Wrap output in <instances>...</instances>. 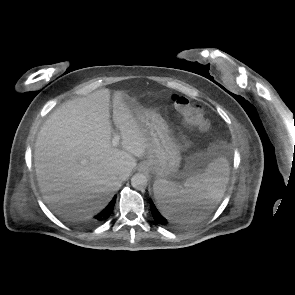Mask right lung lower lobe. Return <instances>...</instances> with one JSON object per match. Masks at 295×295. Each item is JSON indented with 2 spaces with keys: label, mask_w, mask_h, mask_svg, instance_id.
I'll use <instances>...</instances> for the list:
<instances>
[{
  "label": "right lung lower lobe",
  "mask_w": 295,
  "mask_h": 295,
  "mask_svg": "<svg viewBox=\"0 0 295 295\" xmlns=\"http://www.w3.org/2000/svg\"><path fill=\"white\" fill-rule=\"evenodd\" d=\"M115 199L104 209L100 214L94 217V222H100L106 220L113 211Z\"/></svg>",
  "instance_id": "98d812e1"
}]
</instances>
